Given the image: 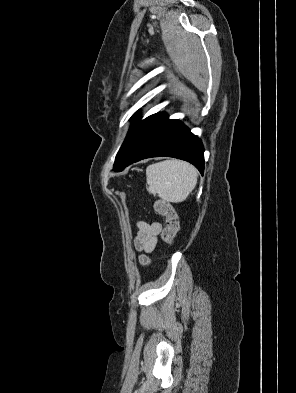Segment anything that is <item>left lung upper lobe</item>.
Here are the masks:
<instances>
[{
  "instance_id": "left-lung-upper-lobe-1",
  "label": "left lung upper lobe",
  "mask_w": 296,
  "mask_h": 393,
  "mask_svg": "<svg viewBox=\"0 0 296 393\" xmlns=\"http://www.w3.org/2000/svg\"><path fill=\"white\" fill-rule=\"evenodd\" d=\"M158 115L159 113L151 115L142 121L139 120L138 113H135L132 116L133 125L130 127V130L115 158V163L113 166V170L115 172L121 171L138 140L140 139L146 128L149 126V124Z\"/></svg>"
}]
</instances>
